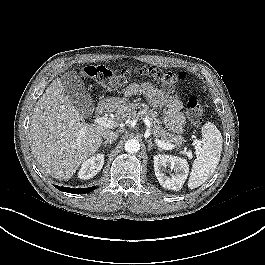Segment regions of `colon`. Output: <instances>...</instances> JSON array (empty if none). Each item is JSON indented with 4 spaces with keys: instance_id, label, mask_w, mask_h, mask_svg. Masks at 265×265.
I'll use <instances>...</instances> for the list:
<instances>
[{
    "instance_id": "colon-1",
    "label": "colon",
    "mask_w": 265,
    "mask_h": 265,
    "mask_svg": "<svg viewBox=\"0 0 265 265\" xmlns=\"http://www.w3.org/2000/svg\"><path fill=\"white\" fill-rule=\"evenodd\" d=\"M81 75L103 87L111 93H121L127 89L134 78L146 79L159 84L168 92H175L185 80L182 72L163 71L154 67H134L113 71L104 65H86ZM186 114L192 125H199L203 120L204 106L196 96L188 98Z\"/></svg>"
}]
</instances>
